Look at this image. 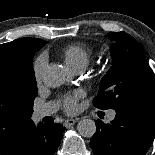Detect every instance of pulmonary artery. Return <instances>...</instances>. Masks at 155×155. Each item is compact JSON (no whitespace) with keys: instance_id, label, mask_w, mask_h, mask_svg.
<instances>
[{"instance_id":"e3ab8cb5","label":"pulmonary artery","mask_w":155,"mask_h":155,"mask_svg":"<svg viewBox=\"0 0 155 155\" xmlns=\"http://www.w3.org/2000/svg\"><path fill=\"white\" fill-rule=\"evenodd\" d=\"M76 73H82L84 71L83 68H78L76 70H74ZM56 111V106L53 103H46L43 104L41 106H39L38 108L35 109L34 111V118L36 120L42 119L45 116H49L52 115L54 112ZM115 117V112L112 111L109 114V118L110 119H114Z\"/></svg>"}]
</instances>
